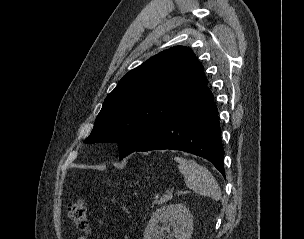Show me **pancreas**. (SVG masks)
<instances>
[{"mask_svg":"<svg viewBox=\"0 0 304 239\" xmlns=\"http://www.w3.org/2000/svg\"><path fill=\"white\" fill-rule=\"evenodd\" d=\"M169 200H171V197L168 196V195H164V196H162V197H160V198L156 197L155 200H154V202H153V205H154V204H159V205H161V204H163V203L168 202Z\"/></svg>","mask_w":304,"mask_h":239,"instance_id":"cf45deb5","label":"pancreas"}]
</instances>
